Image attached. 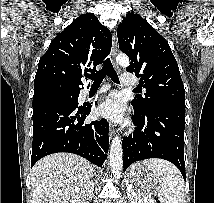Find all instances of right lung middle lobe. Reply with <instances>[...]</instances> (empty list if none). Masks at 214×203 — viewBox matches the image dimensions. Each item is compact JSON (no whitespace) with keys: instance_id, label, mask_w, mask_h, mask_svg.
Wrapping results in <instances>:
<instances>
[{"instance_id":"right-lung-middle-lobe-1","label":"right lung middle lobe","mask_w":214,"mask_h":203,"mask_svg":"<svg viewBox=\"0 0 214 203\" xmlns=\"http://www.w3.org/2000/svg\"><path fill=\"white\" fill-rule=\"evenodd\" d=\"M79 93L54 94L33 99V111L59 102L78 103Z\"/></svg>"}]
</instances>
